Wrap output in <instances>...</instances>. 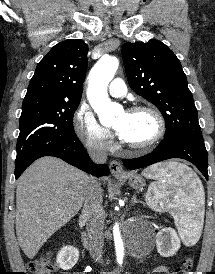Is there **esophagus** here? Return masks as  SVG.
Returning a JSON list of instances; mask_svg holds the SVG:
<instances>
[{"instance_id":"esophagus-1","label":"esophagus","mask_w":215,"mask_h":274,"mask_svg":"<svg viewBox=\"0 0 215 274\" xmlns=\"http://www.w3.org/2000/svg\"><path fill=\"white\" fill-rule=\"evenodd\" d=\"M109 168H110L111 173L116 177L125 175V171H124L121 163L117 160H112L110 162Z\"/></svg>"}]
</instances>
